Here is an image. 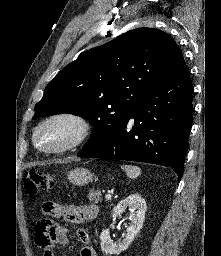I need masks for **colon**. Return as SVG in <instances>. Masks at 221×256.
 <instances>
[{
  "instance_id": "colon-1",
  "label": "colon",
  "mask_w": 221,
  "mask_h": 256,
  "mask_svg": "<svg viewBox=\"0 0 221 256\" xmlns=\"http://www.w3.org/2000/svg\"><path fill=\"white\" fill-rule=\"evenodd\" d=\"M54 180L47 172L30 170L25 179L24 187L28 195L34 197L40 191L53 188Z\"/></svg>"
}]
</instances>
